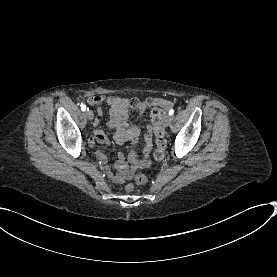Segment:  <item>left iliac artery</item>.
I'll return each instance as SVG.
<instances>
[{
  "mask_svg": "<svg viewBox=\"0 0 277 277\" xmlns=\"http://www.w3.org/2000/svg\"><path fill=\"white\" fill-rule=\"evenodd\" d=\"M173 114H174V110L171 109V110L169 111V115L171 116V115H173Z\"/></svg>",
  "mask_w": 277,
  "mask_h": 277,
  "instance_id": "left-iliac-artery-1",
  "label": "left iliac artery"
}]
</instances>
